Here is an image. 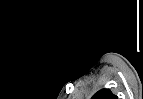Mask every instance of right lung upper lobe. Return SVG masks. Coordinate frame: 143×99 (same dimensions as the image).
<instances>
[{
  "label": "right lung upper lobe",
  "mask_w": 143,
  "mask_h": 99,
  "mask_svg": "<svg viewBox=\"0 0 143 99\" xmlns=\"http://www.w3.org/2000/svg\"><path fill=\"white\" fill-rule=\"evenodd\" d=\"M92 99H117V96L114 95L110 89H101L92 97Z\"/></svg>",
  "instance_id": "obj_1"
}]
</instances>
